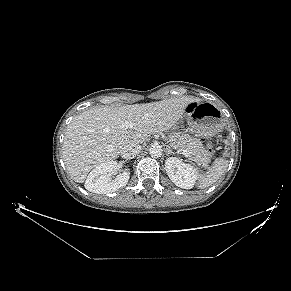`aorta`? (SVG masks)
Masks as SVG:
<instances>
[{
	"instance_id": "obj_1",
	"label": "aorta",
	"mask_w": 291,
	"mask_h": 291,
	"mask_svg": "<svg viewBox=\"0 0 291 291\" xmlns=\"http://www.w3.org/2000/svg\"><path fill=\"white\" fill-rule=\"evenodd\" d=\"M162 148L159 144H152L149 148V154L153 158H159L162 155Z\"/></svg>"
}]
</instances>
